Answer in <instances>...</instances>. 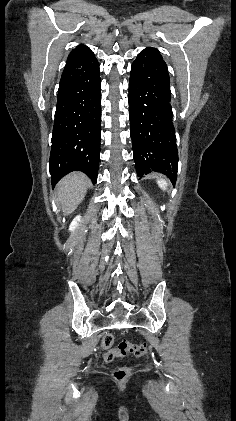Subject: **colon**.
Masks as SVG:
<instances>
[{"instance_id":"5ec220e1","label":"colon","mask_w":236,"mask_h":421,"mask_svg":"<svg viewBox=\"0 0 236 421\" xmlns=\"http://www.w3.org/2000/svg\"><path fill=\"white\" fill-rule=\"evenodd\" d=\"M114 338L111 333L105 334L103 337V357L106 361H112L116 357L126 356L128 354L141 357L147 353V345L145 343H132L123 341L113 348ZM130 375V369L125 366L116 367L113 371L115 379L122 381Z\"/></svg>"}]
</instances>
